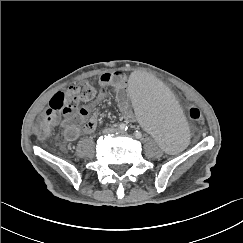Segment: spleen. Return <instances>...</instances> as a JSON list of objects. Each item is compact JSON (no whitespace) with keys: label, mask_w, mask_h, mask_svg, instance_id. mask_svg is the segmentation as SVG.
Segmentation results:
<instances>
[{"label":"spleen","mask_w":243,"mask_h":243,"mask_svg":"<svg viewBox=\"0 0 243 243\" xmlns=\"http://www.w3.org/2000/svg\"><path fill=\"white\" fill-rule=\"evenodd\" d=\"M137 127L163 152L176 153L189 142L191 128L177 96L153 73L136 71L126 81Z\"/></svg>","instance_id":"1"}]
</instances>
